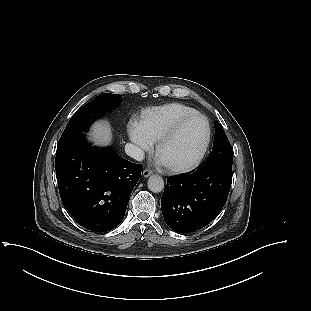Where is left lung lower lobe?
<instances>
[{
    "label": "left lung lower lobe",
    "instance_id": "1",
    "mask_svg": "<svg viewBox=\"0 0 311 311\" xmlns=\"http://www.w3.org/2000/svg\"><path fill=\"white\" fill-rule=\"evenodd\" d=\"M232 183V168L201 166L191 175L167 179L161 208L167 225L176 232H194L223 208Z\"/></svg>",
    "mask_w": 311,
    "mask_h": 311
}]
</instances>
